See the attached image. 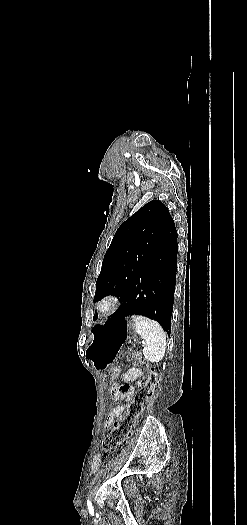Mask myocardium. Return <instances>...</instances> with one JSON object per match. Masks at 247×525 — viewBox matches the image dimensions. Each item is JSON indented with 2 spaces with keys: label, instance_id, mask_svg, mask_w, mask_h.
<instances>
[{
  "label": "myocardium",
  "instance_id": "1",
  "mask_svg": "<svg viewBox=\"0 0 247 525\" xmlns=\"http://www.w3.org/2000/svg\"><path fill=\"white\" fill-rule=\"evenodd\" d=\"M120 302L119 297L114 293L101 296L96 303V310L100 314H106L116 310Z\"/></svg>",
  "mask_w": 247,
  "mask_h": 525
}]
</instances>
